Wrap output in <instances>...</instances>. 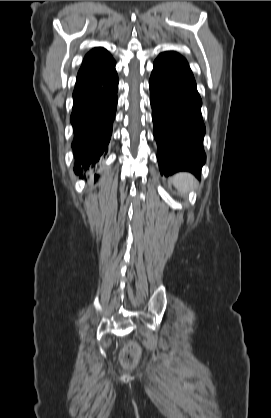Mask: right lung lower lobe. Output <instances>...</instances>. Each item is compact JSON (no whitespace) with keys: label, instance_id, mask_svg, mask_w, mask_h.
I'll list each match as a JSON object with an SVG mask.
<instances>
[{"label":"right lung lower lobe","instance_id":"98d812e1","mask_svg":"<svg viewBox=\"0 0 271 418\" xmlns=\"http://www.w3.org/2000/svg\"><path fill=\"white\" fill-rule=\"evenodd\" d=\"M117 90L118 76L113 59L76 81L70 120L74 129V172L78 175L94 166L107 152Z\"/></svg>","mask_w":271,"mask_h":418}]
</instances>
